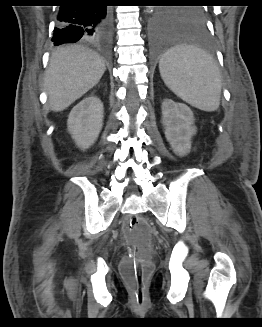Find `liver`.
<instances>
[{
	"label": "liver",
	"instance_id": "obj_1",
	"mask_svg": "<svg viewBox=\"0 0 262 327\" xmlns=\"http://www.w3.org/2000/svg\"><path fill=\"white\" fill-rule=\"evenodd\" d=\"M106 70L95 52L69 45L52 52L44 86L51 110L62 111L93 88Z\"/></svg>",
	"mask_w": 262,
	"mask_h": 327
}]
</instances>
